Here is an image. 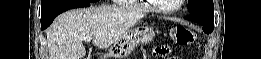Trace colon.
<instances>
[{"label":"colon","mask_w":261,"mask_h":59,"mask_svg":"<svg viewBox=\"0 0 261 59\" xmlns=\"http://www.w3.org/2000/svg\"><path fill=\"white\" fill-rule=\"evenodd\" d=\"M170 38L174 43L186 46L194 42L195 33L187 27L176 25L170 31ZM170 54L171 48L166 44H159L153 49V57L156 59H171Z\"/></svg>","instance_id":"obj_1"}]
</instances>
